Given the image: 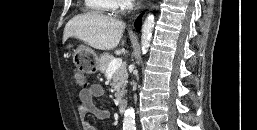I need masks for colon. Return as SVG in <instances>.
<instances>
[{
  "mask_svg": "<svg viewBox=\"0 0 257 130\" xmlns=\"http://www.w3.org/2000/svg\"><path fill=\"white\" fill-rule=\"evenodd\" d=\"M73 78L78 86H84L86 84L85 75L79 70L73 71Z\"/></svg>",
  "mask_w": 257,
  "mask_h": 130,
  "instance_id": "5ec220e1",
  "label": "colon"
}]
</instances>
